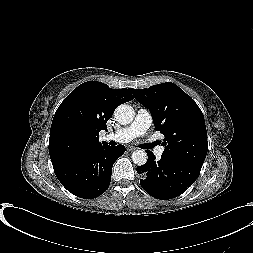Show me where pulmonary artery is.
<instances>
[{
  "instance_id": "1",
  "label": "pulmonary artery",
  "mask_w": 253,
  "mask_h": 253,
  "mask_svg": "<svg viewBox=\"0 0 253 253\" xmlns=\"http://www.w3.org/2000/svg\"><path fill=\"white\" fill-rule=\"evenodd\" d=\"M152 124V116L150 112L144 108L137 110L136 115L132 123L114 133L107 134L106 140H114L119 143H126L134 139L135 137L146 134ZM164 152V147L158 146L154 149L156 157L160 158Z\"/></svg>"
}]
</instances>
